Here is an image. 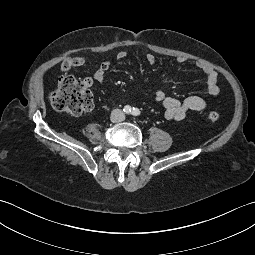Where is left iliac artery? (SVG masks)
Returning <instances> with one entry per match:
<instances>
[{
	"label": "left iliac artery",
	"mask_w": 255,
	"mask_h": 255,
	"mask_svg": "<svg viewBox=\"0 0 255 255\" xmlns=\"http://www.w3.org/2000/svg\"><path fill=\"white\" fill-rule=\"evenodd\" d=\"M132 115H134V116H139V115H140V110L137 109V108H133V109H132Z\"/></svg>",
	"instance_id": "left-iliac-artery-1"
}]
</instances>
